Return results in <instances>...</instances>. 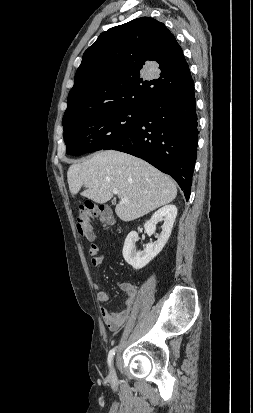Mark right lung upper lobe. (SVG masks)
Wrapping results in <instances>:
<instances>
[{
    "instance_id": "cb5924a9",
    "label": "right lung upper lobe",
    "mask_w": 253,
    "mask_h": 413,
    "mask_svg": "<svg viewBox=\"0 0 253 413\" xmlns=\"http://www.w3.org/2000/svg\"><path fill=\"white\" fill-rule=\"evenodd\" d=\"M149 62L157 64L156 77L146 80ZM191 81L174 35L153 18H137L101 33L85 51L62 124L111 109H141Z\"/></svg>"
}]
</instances>
